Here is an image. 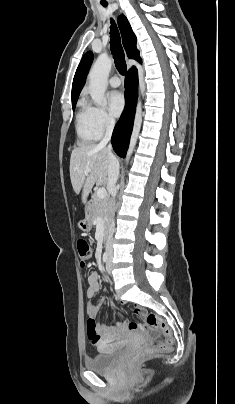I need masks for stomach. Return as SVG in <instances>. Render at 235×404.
Masks as SVG:
<instances>
[{
    "instance_id": "1",
    "label": "stomach",
    "mask_w": 235,
    "mask_h": 404,
    "mask_svg": "<svg viewBox=\"0 0 235 404\" xmlns=\"http://www.w3.org/2000/svg\"><path fill=\"white\" fill-rule=\"evenodd\" d=\"M78 227L83 232H89L92 228V218L90 215V209L86 210L85 219L79 221Z\"/></svg>"
}]
</instances>
